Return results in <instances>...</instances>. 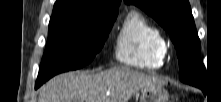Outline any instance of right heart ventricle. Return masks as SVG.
Returning <instances> with one entry per match:
<instances>
[{
  "label": "right heart ventricle",
  "instance_id": "right-heart-ventricle-1",
  "mask_svg": "<svg viewBox=\"0 0 221 102\" xmlns=\"http://www.w3.org/2000/svg\"><path fill=\"white\" fill-rule=\"evenodd\" d=\"M166 52V41L159 28L143 13L128 12L116 34V59L125 65L154 70L163 65Z\"/></svg>",
  "mask_w": 221,
  "mask_h": 102
}]
</instances>
